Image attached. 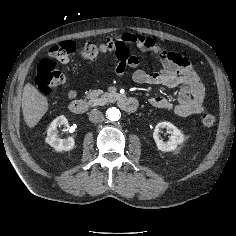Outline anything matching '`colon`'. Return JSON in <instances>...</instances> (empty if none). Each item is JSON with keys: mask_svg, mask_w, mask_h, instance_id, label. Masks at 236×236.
I'll return each mask as SVG.
<instances>
[{"mask_svg": "<svg viewBox=\"0 0 236 236\" xmlns=\"http://www.w3.org/2000/svg\"><path fill=\"white\" fill-rule=\"evenodd\" d=\"M75 51V43L73 41H63L49 49V56L60 62L68 60L70 55ZM115 51L116 54L123 53L122 47L112 40L104 43L87 42L80 50V57L85 62H90L98 58L100 55ZM65 81V77L61 71L56 69L54 63L50 59L42 60L37 68L36 86L43 94H49L52 90ZM216 116L213 113H204L201 117L202 124L211 128L216 123Z\"/></svg>", "mask_w": 236, "mask_h": 236, "instance_id": "colon-1", "label": "colon"}]
</instances>
